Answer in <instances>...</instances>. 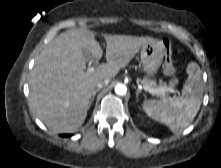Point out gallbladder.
<instances>
[{
  "mask_svg": "<svg viewBox=\"0 0 221 168\" xmlns=\"http://www.w3.org/2000/svg\"><path fill=\"white\" fill-rule=\"evenodd\" d=\"M83 56L87 61L94 60L93 55L87 50H83Z\"/></svg>",
  "mask_w": 221,
  "mask_h": 168,
  "instance_id": "bac80fb5",
  "label": "gallbladder"
}]
</instances>
